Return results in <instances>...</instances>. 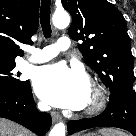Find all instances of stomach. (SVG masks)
I'll return each instance as SVG.
<instances>
[{
    "instance_id": "1",
    "label": "stomach",
    "mask_w": 136,
    "mask_h": 136,
    "mask_svg": "<svg viewBox=\"0 0 136 136\" xmlns=\"http://www.w3.org/2000/svg\"><path fill=\"white\" fill-rule=\"evenodd\" d=\"M84 136H96L95 134H87V135H84Z\"/></svg>"
}]
</instances>
